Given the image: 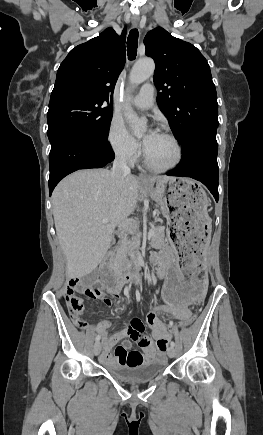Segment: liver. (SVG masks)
<instances>
[{
	"label": "liver",
	"mask_w": 263,
	"mask_h": 435,
	"mask_svg": "<svg viewBox=\"0 0 263 435\" xmlns=\"http://www.w3.org/2000/svg\"><path fill=\"white\" fill-rule=\"evenodd\" d=\"M138 189L134 176H126L120 186L106 169L75 172L56 186L52 210L68 279L96 269L110 247L113 230L134 211Z\"/></svg>",
	"instance_id": "1"
}]
</instances>
